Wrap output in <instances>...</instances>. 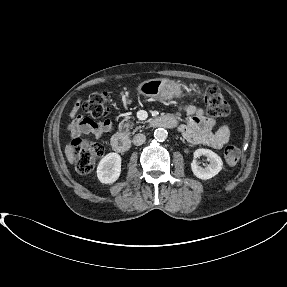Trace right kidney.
<instances>
[{"mask_svg": "<svg viewBox=\"0 0 287 287\" xmlns=\"http://www.w3.org/2000/svg\"><path fill=\"white\" fill-rule=\"evenodd\" d=\"M121 174V156L109 153L104 156L97 167V177L101 183H114Z\"/></svg>", "mask_w": 287, "mask_h": 287, "instance_id": "right-kidney-1", "label": "right kidney"}]
</instances>
